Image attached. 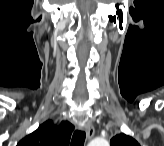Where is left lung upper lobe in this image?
Segmentation results:
<instances>
[{
  "instance_id": "5c2ea615",
  "label": "left lung upper lobe",
  "mask_w": 164,
  "mask_h": 146,
  "mask_svg": "<svg viewBox=\"0 0 164 146\" xmlns=\"http://www.w3.org/2000/svg\"><path fill=\"white\" fill-rule=\"evenodd\" d=\"M111 146H139L138 142L124 133L114 136L110 141Z\"/></svg>"
}]
</instances>
